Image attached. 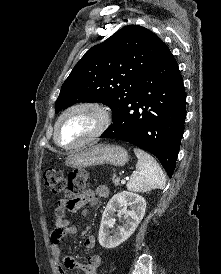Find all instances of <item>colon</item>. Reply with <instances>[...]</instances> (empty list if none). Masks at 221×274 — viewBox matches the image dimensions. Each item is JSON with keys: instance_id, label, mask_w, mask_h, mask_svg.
<instances>
[{"instance_id": "1", "label": "colon", "mask_w": 221, "mask_h": 274, "mask_svg": "<svg viewBox=\"0 0 221 274\" xmlns=\"http://www.w3.org/2000/svg\"><path fill=\"white\" fill-rule=\"evenodd\" d=\"M43 179L52 193H64L69 200L78 198L87 185V175L83 171H75L64 176L58 169L46 168Z\"/></svg>"}]
</instances>
